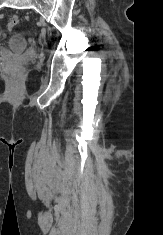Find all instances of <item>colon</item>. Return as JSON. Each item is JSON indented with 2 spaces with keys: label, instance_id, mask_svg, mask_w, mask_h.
I'll return each instance as SVG.
<instances>
[{
  "label": "colon",
  "instance_id": "5ec220e1",
  "mask_svg": "<svg viewBox=\"0 0 163 235\" xmlns=\"http://www.w3.org/2000/svg\"><path fill=\"white\" fill-rule=\"evenodd\" d=\"M19 24V18L17 16H12L8 23H7V28L9 30L14 29L17 25Z\"/></svg>",
  "mask_w": 163,
  "mask_h": 235
}]
</instances>
